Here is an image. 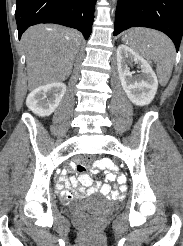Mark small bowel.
<instances>
[{
    "label": "small bowel",
    "instance_id": "c3829d8e",
    "mask_svg": "<svg viewBox=\"0 0 183 246\" xmlns=\"http://www.w3.org/2000/svg\"><path fill=\"white\" fill-rule=\"evenodd\" d=\"M114 164V160L100 159L94 163L91 170L95 172L97 169H103L102 173L106 174L107 181L117 179V182L119 183L118 186L112 188L109 184L101 182H96L94 184L90 176L85 173L86 167L82 164H78L66 165V169H61L60 180L57 183V190L67 198H80L85 195L100 192L111 199H117L119 197V193H128V188H125L123 184L127 183L128 179L127 174L114 173V170H119V165ZM77 169L79 171L78 177H71L69 179V174L72 173V170ZM106 169L110 170L107 171Z\"/></svg>",
    "mask_w": 183,
    "mask_h": 246
}]
</instances>
